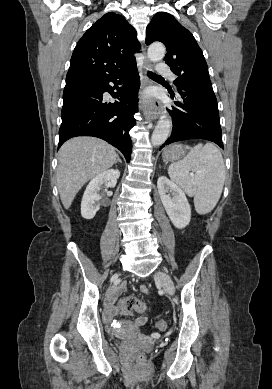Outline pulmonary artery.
Listing matches in <instances>:
<instances>
[{"mask_svg": "<svg viewBox=\"0 0 272 389\" xmlns=\"http://www.w3.org/2000/svg\"><path fill=\"white\" fill-rule=\"evenodd\" d=\"M157 71L161 75L167 76L172 81H174L176 78L175 74L170 70L169 66L164 62H159L157 64Z\"/></svg>", "mask_w": 272, "mask_h": 389, "instance_id": "1", "label": "pulmonary artery"}]
</instances>
